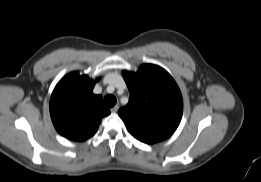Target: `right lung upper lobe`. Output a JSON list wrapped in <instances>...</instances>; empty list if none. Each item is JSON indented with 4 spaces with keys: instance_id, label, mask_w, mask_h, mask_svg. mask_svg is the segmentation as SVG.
Masks as SVG:
<instances>
[{
    "instance_id": "right-lung-upper-lobe-1",
    "label": "right lung upper lobe",
    "mask_w": 261,
    "mask_h": 182,
    "mask_svg": "<svg viewBox=\"0 0 261 182\" xmlns=\"http://www.w3.org/2000/svg\"><path fill=\"white\" fill-rule=\"evenodd\" d=\"M99 79H97L98 81ZM95 81L79 72L64 76L53 90L50 115L55 129L74 141L95 134L101 119L110 114L102 96L93 94Z\"/></svg>"
}]
</instances>
